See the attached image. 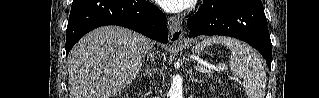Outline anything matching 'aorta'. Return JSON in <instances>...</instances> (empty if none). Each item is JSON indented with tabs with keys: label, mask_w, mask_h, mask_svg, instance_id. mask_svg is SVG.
Returning <instances> with one entry per match:
<instances>
[{
	"label": "aorta",
	"mask_w": 319,
	"mask_h": 98,
	"mask_svg": "<svg viewBox=\"0 0 319 98\" xmlns=\"http://www.w3.org/2000/svg\"><path fill=\"white\" fill-rule=\"evenodd\" d=\"M170 98H183V86L179 76H174L169 90Z\"/></svg>",
	"instance_id": "762f6f07"
}]
</instances>
